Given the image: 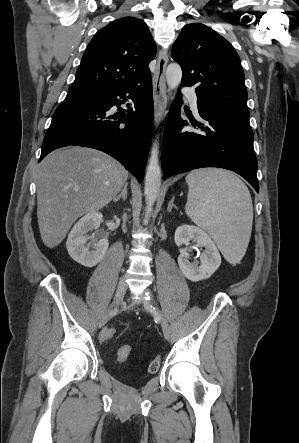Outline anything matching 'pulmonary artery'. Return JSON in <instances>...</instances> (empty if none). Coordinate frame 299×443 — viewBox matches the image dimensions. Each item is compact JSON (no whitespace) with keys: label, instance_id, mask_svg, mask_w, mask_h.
Wrapping results in <instances>:
<instances>
[{"label":"pulmonary artery","instance_id":"obj_1","mask_svg":"<svg viewBox=\"0 0 299 443\" xmlns=\"http://www.w3.org/2000/svg\"><path fill=\"white\" fill-rule=\"evenodd\" d=\"M183 94L188 98V100L190 101L191 108H192L193 112L197 115L198 114V106H197L198 98H197L195 91L192 90L191 88H184Z\"/></svg>","mask_w":299,"mask_h":443}]
</instances>
